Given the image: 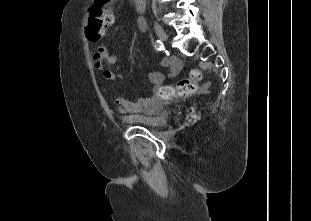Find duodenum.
I'll return each instance as SVG.
<instances>
[{
  "mask_svg": "<svg viewBox=\"0 0 311 221\" xmlns=\"http://www.w3.org/2000/svg\"><path fill=\"white\" fill-rule=\"evenodd\" d=\"M148 0H134L135 9L141 11L145 8ZM139 26H142V23H139Z\"/></svg>",
  "mask_w": 311,
  "mask_h": 221,
  "instance_id": "duodenum-1",
  "label": "duodenum"
}]
</instances>
